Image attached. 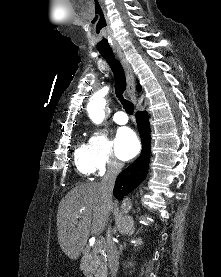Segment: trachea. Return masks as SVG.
Segmentation results:
<instances>
[{
  "mask_svg": "<svg viewBox=\"0 0 221 277\" xmlns=\"http://www.w3.org/2000/svg\"><path fill=\"white\" fill-rule=\"evenodd\" d=\"M100 54L106 59L114 74L116 96L121 101L125 111L129 115H132L134 112L133 104L123 97V93L126 89V78L121 63L115 58L112 51H100Z\"/></svg>",
  "mask_w": 221,
  "mask_h": 277,
  "instance_id": "trachea-1",
  "label": "trachea"
}]
</instances>
